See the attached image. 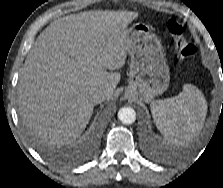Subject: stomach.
<instances>
[{"instance_id": "stomach-1", "label": "stomach", "mask_w": 223, "mask_h": 188, "mask_svg": "<svg viewBox=\"0 0 223 188\" xmlns=\"http://www.w3.org/2000/svg\"><path fill=\"white\" fill-rule=\"evenodd\" d=\"M126 42L131 60L125 97L148 103L169 86V68L162 45L144 23H135L127 29Z\"/></svg>"}]
</instances>
